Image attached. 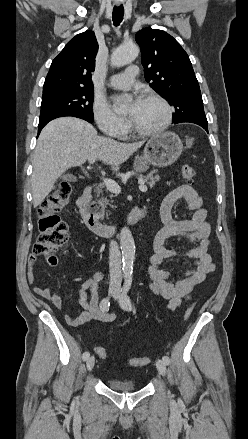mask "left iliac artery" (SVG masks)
<instances>
[{"instance_id":"obj_1","label":"left iliac artery","mask_w":248,"mask_h":439,"mask_svg":"<svg viewBox=\"0 0 248 439\" xmlns=\"http://www.w3.org/2000/svg\"><path fill=\"white\" fill-rule=\"evenodd\" d=\"M132 285V275L128 274L125 276V283L123 285L122 288V295L120 298V305L124 310L127 311H131L133 309L132 303H131V299L128 296V292L131 288ZM162 360L165 362V364H169L170 363V359L168 356H163Z\"/></svg>"}]
</instances>
